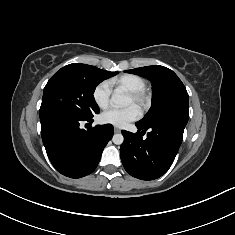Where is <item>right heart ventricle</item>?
<instances>
[{
	"label": "right heart ventricle",
	"instance_id": "e07e8e85",
	"mask_svg": "<svg viewBox=\"0 0 235 235\" xmlns=\"http://www.w3.org/2000/svg\"><path fill=\"white\" fill-rule=\"evenodd\" d=\"M110 83L117 87H123L129 92L144 90L146 83L143 78L134 74H125L110 81Z\"/></svg>",
	"mask_w": 235,
	"mask_h": 235
}]
</instances>
